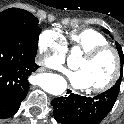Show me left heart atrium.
I'll return each mask as SVG.
<instances>
[{"instance_id":"obj_1","label":"left heart atrium","mask_w":124,"mask_h":124,"mask_svg":"<svg viewBox=\"0 0 124 124\" xmlns=\"http://www.w3.org/2000/svg\"><path fill=\"white\" fill-rule=\"evenodd\" d=\"M68 78L72 86L78 89L90 88L86 73L82 70H77L68 73Z\"/></svg>"}]
</instances>
